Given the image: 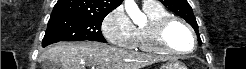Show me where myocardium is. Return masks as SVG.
Wrapping results in <instances>:
<instances>
[{
    "mask_svg": "<svg viewBox=\"0 0 246 69\" xmlns=\"http://www.w3.org/2000/svg\"><path fill=\"white\" fill-rule=\"evenodd\" d=\"M173 23H180L188 31L191 37V41L193 42V44H195V35L191 26L183 19L174 15L163 17L156 23L148 26L145 30V36L147 41L154 47L171 54L179 55L191 53L194 50V47H192V49L188 51H180L173 48L165 41V33L169 26Z\"/></svg>",
    "mask_w": 246,
    "mask_h": 69,
    "instance_id": "obj_1",
    "label": "myocardium"
}]
</instances>
